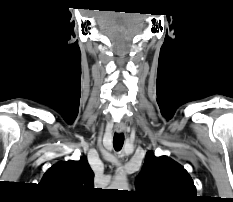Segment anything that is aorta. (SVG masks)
<instances>
[{"instance_id":"762f6f07","label":"aorta","mask_w":233,"mask_h":202,"mask_svg":"<svg viewBox=\"0 0 233 202\" xmlns=\"http://www.w3.org/2000/svg\"><path fill=\"white\" fill-rule=\"evenodd\" d=\"M110 187L111 189L127 190V179L124 176L117 177Z\"/></svg>"}]
</instances>
